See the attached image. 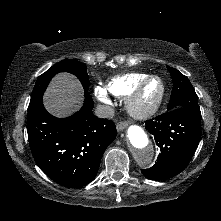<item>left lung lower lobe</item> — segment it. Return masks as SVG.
<instances>
[{"instance_id": "obj_1", "label": "left lung lower lobe", "mask_w": 221, "mask_h": 221, "mask_svg": "<svg viewBox=\"0 0 221 221\" xmlns=\"http://www.w3.org/2000/svg\"><path fill=\"white\" fill-rule=\"evenodd\" d=\"M145 128L154 136L160 148L157 162L141 169L151 180H164L182 172L201 139V116L185 108H176L145 121Z\"/></svg>"}]
</instances>
